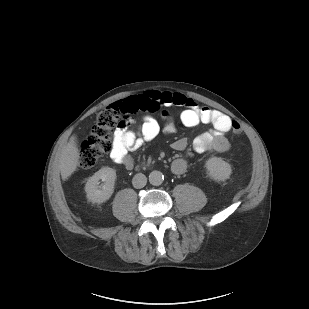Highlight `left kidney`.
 <instances>
[{
  "instance_id": "obj_1",
  "label": "left kidney",
  "mask_w": 309,
  "mask_h": 309,
  "mask_svg": "<svg viewBox=\"0 0 309 309\" xmlns=\"http://www.w3.org/2000/svg\"><path fill=\"white\" fill-rule=\"evenodd\" d=\"M205 167L209 176L216 181H225L230 178L232 173L230 164L218 157L207 160Z\"/></svg>"
}]
</instances>
